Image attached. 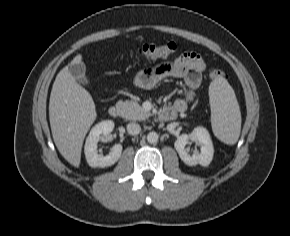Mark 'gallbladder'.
Masks as SVG:
<instances>
[{
    "label": "gallbladder",
    "mask_w": 290,
    "mask_h": 236,
    "mask_svg": "<svg viewBox=\"0 0 290 236\" xmlns=\"http://www.w3.org/2000/svg\"><path fill=\"white\" fill-rule=\"evenodd\" d=\"M71 75L82 85H88L89 79L86 76V67L84 63L73 64L70 66Z\"/></svg>",
    "instance_id": "gallbladder-1"
}]
</instances>
